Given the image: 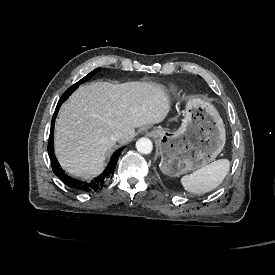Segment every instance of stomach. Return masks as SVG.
I'll list each match as a JSON object with an SVG mask.
<instances>
[{"mask_svg":"<svg viewBox=\"0 0 275 275\" xmlns=\"http://www.w3.org/2000/svg\"><path fill=\"white\" fill-rule=\"evenodd\" d=\"M158 141L161 171L178 177L201 168L221 153L226 142L223 120L209 102L191 97L185 109V118L174 132L156 129L151 132Z\"/></svg>","mask_w":275,"mask_h":275,"instance_id":"1","label":"stomach"}]
</instances>
